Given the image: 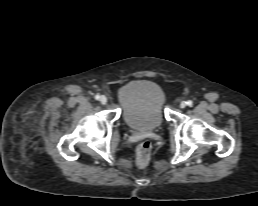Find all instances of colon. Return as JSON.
<instances>
[{"label":"colon","mask_w":258,"mask_h":206,"mask_svg":"<svg viewBox=\"0 0 258 206\" xmlns=\"http://www.w3.org/2000/svg\"><path fill=\"white\" fill-rule=\"evenodd\" d=\"M151 156V143L148 140L140 143L136 150L135 160L136 163L140 166L146 165Z\"/></svg>","instance_id":"5ec220e1"}]
</instances>
